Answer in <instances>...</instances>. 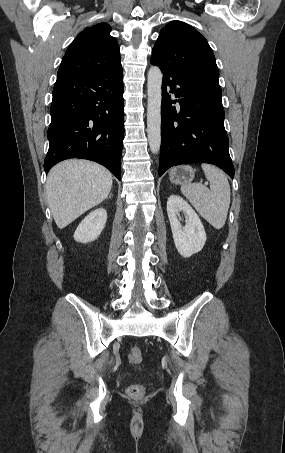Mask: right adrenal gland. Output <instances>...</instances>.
I'll return each instance as SVG.
<instances>
[{"label": "right adrenal gland", "instance_id": "obj_1", "mask_svg": "<svg viewBox=\"0 0 285 453\" xmlns=\"http://www.w3.org/2000/svg\"><path fill=\"white\" fill-rule=\"evenodd\" d=\"M111 196H112V194H110L108 198H111Z\"/></svg>", "mask_w": 285, "mask_h": 453}]
</instances>
